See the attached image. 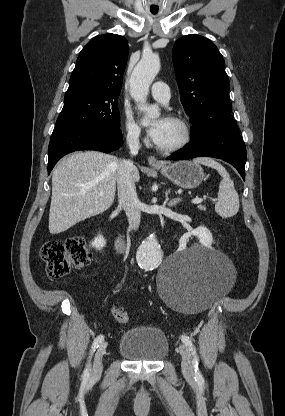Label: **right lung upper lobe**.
I'll return each mask as SVG.
<instances>
[{"mask_svg":"<svg viewBox=\"0 0 285 416\" xmlns=\"http://www.w3.org/2000/svg\"><path fill=\"white\" fill-rule=\"evenodd\" d=\"M129 46L120 35L93 38L79 53L65 95L85 98L119 96Z\"/></svg>","mask_w":285,"mask_h":416,"instance_id":"1","label":"right lung upper lobe"}]
</instances>
